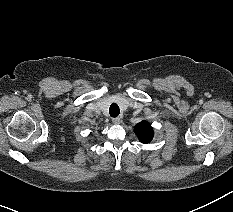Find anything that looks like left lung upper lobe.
Segmentation results:
<instances>
[{
	"instance_id": "5c2ea615",
	"label": "left lung upper lobe",
	"mask_w": 233,
	"mask_h": 212,
	"mask_svg": "<svg viewBox=\"0 0 233 212\" xmlns=\"http://www.w3.org/2000/svg\"><path fill=\"white\" fill-rule=\"evenodd\" d=\"M134 132L142 143H149L153 138V129L148 122L142 121L135 126Z\"/></svg>"
}]
</instances>
